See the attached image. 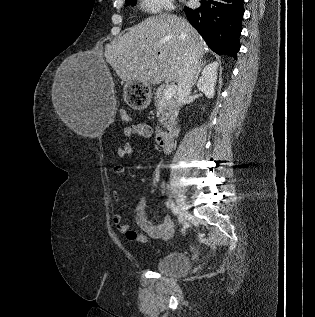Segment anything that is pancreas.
<instances>
[{
    "label": "pancreas",
    "mask_w": 315,
    "mask_h": 317,
    "mask_svg": "<svg viewBox=\"0 0 315 317\" xmlns=\"http://www.w3.org/2000/svg\"><path fill=\"white\" fill-rule=\"evenodd\" d=\"M166 90V87L163 85L159 87L156 90L155 96H154V102L155 106L159 107L161 109V118L160 121L167 126L170 117H171V105H172V99H165L164 98V91Z\"/></svg>",
    "instance_id": "1"
}]
</instances>
